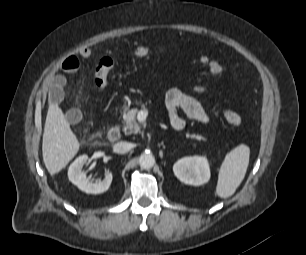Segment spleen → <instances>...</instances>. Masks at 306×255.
Segmentation results:
<instances>
[{
	"label": "spleen",
	"instance_id": "obj_1",
	"mask_svg": "<svg viewBox=\"0 0 306 255\" xmlns=\"http://www.w3.org/2000/svg\"><path fill=\"white\" fill-rule=\"evenodd\" d=\"M250 149L241 144L226 154L220 167L216 194L220 198L232 196L245 177Z\"/></svg>",
	"mask_w": 306,
	"mask_h": 255
}]
</instances>
